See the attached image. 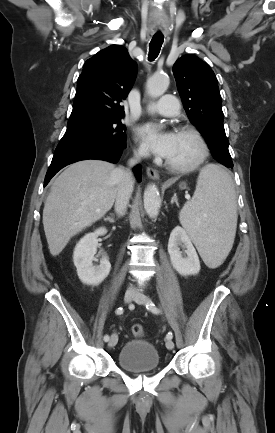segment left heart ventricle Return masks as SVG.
I'll use <instances>...</instances> for the list:
<instances>
[{"label":"left heart ventricle","mask_w":275,"mask_h":433,"mask_svg":"<svg viewBox=\"0 0 275 433\" xmlns=\"http://www.w3.org/2000/svg\"><path fill=\"white\" fill-rule=\"evenodd\" d=\"M200 156V145L191 135L176 133L171 153L167 160L175 165L187 166Z\"/></svg>","instance_id":"obj_1"}]
</instances>
